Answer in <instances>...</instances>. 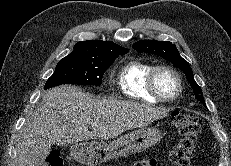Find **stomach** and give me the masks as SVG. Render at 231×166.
Here are the masks:
<instances>
[{"instance_id": "stomach-1", "label": "stomach", "mask_w": 231, "mask_h": 166, "mask_svg": "<svg viewBox=\"0 0 231 166\" xmlns=\"http://www.w3.org/2000/svg\"><path fill=\"white\" fill-rule=\"evenodd\" d=\"M162 133L157 128H141L111 142L80 141L70 147V157L87 166H96L110 159L140 153L158 141Z\"/></svg>"}]
</instances>
